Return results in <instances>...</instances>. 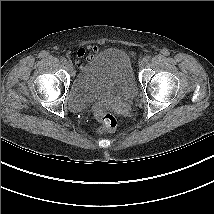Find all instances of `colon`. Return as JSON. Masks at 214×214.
I'll return each instance as SVG.
<instances>
[{"label": "colon", "mask_w": 214, "mask_h": 214, "mask_svg": "<svg viewBox=\"0 0 214 214\" xmlns=\"http://www.w3.org/2000/svg\"><path fill=\"white\" fill-rule=\"evenodd\" d=\"M97 116L101 122L100 133L112 132L117 128V119L111 113H107L103 109H98Z\"/></svg>", "instance_id": "5ec220e1"}]
</instances>
